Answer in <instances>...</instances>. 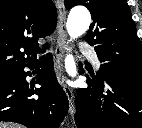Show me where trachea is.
Returning a JSON list of instances; mask_svg holds the SVG:
<instances>
[{"mask_svg":"<svg viewBox=\"0 0 142 128\" xmlns=\"http://www.w3.org/2000/svg\"><path fill=\"white\" fill-rule=\"evenodd\" d=\"M49 44H46V45H44V49H47V48H49Z\"/></svg>","mask_w":142,"mask_h":128,"instance_id":"3493384b","label":"trachea"}]
</instances>
